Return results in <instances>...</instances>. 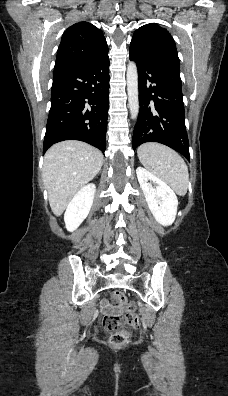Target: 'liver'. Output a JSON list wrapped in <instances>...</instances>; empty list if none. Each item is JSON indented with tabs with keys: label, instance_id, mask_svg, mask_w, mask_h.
I'll return each mask as SVG.
<instances>
[{
	"label": "liver",
	"instance_id": "obj_1",
	"mask_svg": "<svg viewBox=\"0 0 228 396\" xmlns=\"http://www.w3.org/2000/svg\"><path fill=\"white\" fill-rule=\"evenodd\" d=\"M103 154L76 140L53 145L44 156L43 183L52 212L60 216L75 194L100 171Z\"/></svg>",
	"mask_w": 228,
	"mask_h": 396
}]
</instances>
